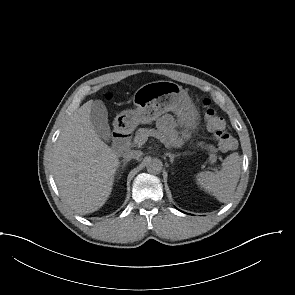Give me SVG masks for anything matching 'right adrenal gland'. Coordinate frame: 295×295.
I'll use <instances>...</instances> for the list:
<instances>
[{"label": "right adrenal gland", "instance_id": "obj_1", "mask_svg": "<svg viewBox=\"0 0 295 295\" xmlns=\"http://www.w3.org/2000/svg\"><path fill=\"white\" fill-rule=\"evenodd\" d=\"M129 161H130L129 159H123L121 162H119V165H118L117 168L122 167V169H124L125 166H126V164H127ZM121 163H122V165H121ZM119 178H120V177H119Z\"/></svg>", "mask_w": 295, "mask_h": 295}]
</instances>
